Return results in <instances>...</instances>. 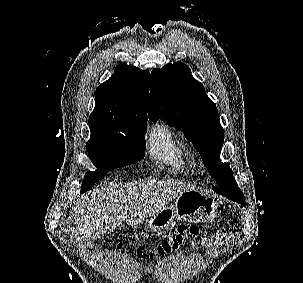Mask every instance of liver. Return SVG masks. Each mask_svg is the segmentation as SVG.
<instances>
[{
  "instance_id": "6515ba94",
  "label": "liver",
  "mask_w": 303,
  "mask_h": 283,
  "mask_svg": "<svg viewBox=\"0 0 303 283\" xmlns=\"http://www.w3.org/2000/svg\"><path fill=\"white\" fill-rule=\"evenodd\" d=\"M189 190L190 187L175 180H148L125 189L102 186L88 192L72 208L71 229L79 240L91 244L122 221L130 226L144 222Z\"/></svg>"
}]
</instances>
